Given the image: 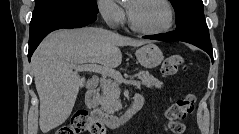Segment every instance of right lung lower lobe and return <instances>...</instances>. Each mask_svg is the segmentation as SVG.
Returning <instances> with one entry per match:
<instances>
[{"mask_svg": "<svg viewBox=\"0 0 239 134\" xmlns=\"http://www.w3.org/2000/svg\"><path fill=\"white\" fill-rule=\"evenodd\" d=\"M96 13L64 8L53 11L30 24L29 61L42 39L50 32L61 28H78L94 22Z\"/></svg>", "mask_w": 239, "mask_h": 134, "instance_id": "1", "label": "right lung lower lobe"}]
</instances>
